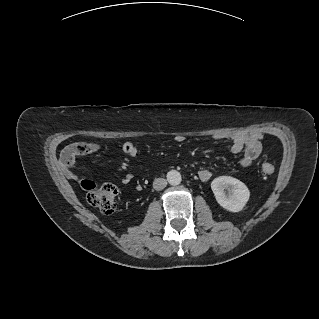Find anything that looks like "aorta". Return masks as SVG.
Returning <instances> with one entry per match:
<instances>
[{
    "mask_svg": "<svg viewBox=\"0 0 319 319\" xmlns=\"http://www.w3.org/2000/svg\"><path fill=\"white\" fill-rule=\"evenodd\" d=\"M181 183V175L179 173L174 174L170 177V184L173 186L179 185Z\"/></svg>",
    "mask_w": 319,
    "mask_h": 319,
    "instance_id": "aorta-1",
    "label": "aorta"
}]
</instances>
